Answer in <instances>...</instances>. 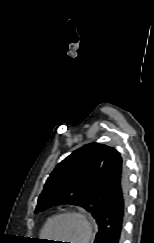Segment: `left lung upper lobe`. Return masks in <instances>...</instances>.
Segmentation results:
<instances>
[{
  "label": "left lung upper lobe",
  "mask_w": 154,
  "mask_h": 243,
  "mask_svg": "<svg viewBox=\"0 0 154 243\" xmlns=\"http://www.w3.org/2000/svg\"><path fill=\"white\" fill-rule=\"evenodd\" d=\"M113 148L103 144H87L60 162L46 181L35 212L59 204H73L85 208L96 219V201L92 186L108 153Z\"/></svg>",
  "instance_id": "obj_1"
}]
</instances>
